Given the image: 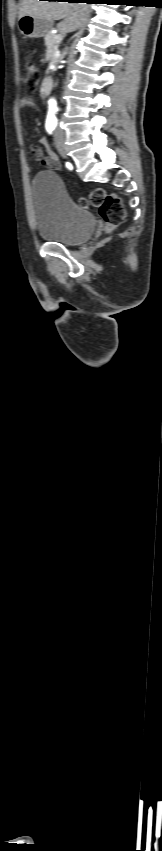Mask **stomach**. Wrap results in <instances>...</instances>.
Returning a JSON list of instances; mask_svg holds the SVG:
<instances>
[{"label":"stomach","mask_w":162,"mask_h":851,"mask_svg":"<svg viewBox=\"0 0 162 851\" xmlns=\"http://www.w3.org/2000/svg\"><path fill=\"white\" fill-rule=\"evenodd\" d=\"M53 22L24 15L18 19V29L26 38H40L45 36L52 28Z\"/></svg>","instance_id":"stomach-1"}]
</instances>
